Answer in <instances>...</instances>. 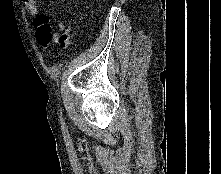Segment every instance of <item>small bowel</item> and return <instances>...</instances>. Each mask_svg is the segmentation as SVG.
<instances>
[{
	"mask_svg": "<svg viewBox=\"0 0 221 174\" xmlns=\"http://www.w3.org/2000/svg\"><path fill=\"white\" fill-rule=\"evenodd\" d=\"M24 2L28 13L34 17L36 38L40 45L46 47L50 41H54L61 46L70 44V27L67 23L59 22V33L52 32L48 18L38 14L37 0H25Z\"/></svg>",
	"mask_w": 221,
	"mask_h": 174,
	"instance_id": "obj_1",
	"label": "small bowel"
}]
</instances>
